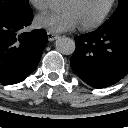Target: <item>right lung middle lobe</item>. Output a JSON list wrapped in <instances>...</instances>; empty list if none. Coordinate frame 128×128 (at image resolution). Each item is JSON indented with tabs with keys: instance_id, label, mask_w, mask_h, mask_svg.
Here are the masks:
<instances>
[{
	"instance_id": "right-lung-middle-lobe-1",
	"label": "right lung middle lobe",
	"mask_w": 128,
	"mask_h": 128,
	"mask_svg": "<svg viewBox=\"0 0 128 128\" xmlns=\"http://www.w3.org/2000/svg\"><path fill=\"white\" fill-rule=\"evenodd\" d=\"M31 14L28 0H0V18L12 19Z\"/></svg>"
}]
</instances>
